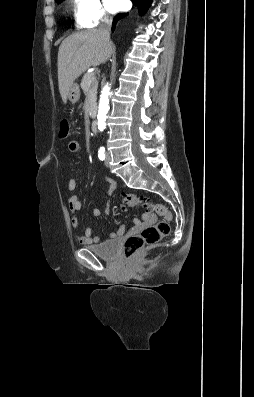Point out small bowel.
I'll use <instances>...</instances> for the list:
<instances>
[{"instance_id":"1","label":"small bowel","mask_w":254,"mask_h":397,"mask_svg":"<svg viewBox=\"0 0 254 397\" xmlns=\"http://www.w3.org/2000/svg\"><path fill=\"white\" fill-rule=\"evenodd\" d=\"M69 151L72 153H77L80 150V145L77 141H71L69 142L68 145ZM106 181L109 184V189H108V196L111 197V195L113 194L115 188H116V183L115 181L110 178V177H105ZM77 187V182L74 178H71L68 182V189L70 191H74ZM68 205H69V209L72 212V217H71V225L74 229H77L79 226V221L78 218L76 216V213L81 209L82 207V202L79 198V196L77 194H72L69 196L68 198ZM109 208H110V202L109 200L107 201L106 207L104 209V211L102 212L100 209L98 208H94L92 210V214L94 217H101L103 215H107L109 213ZM146 219H150L151 216L146 214L145 215ZM139 221L136 220L134 222V225H138ZM124 231V228L121 227L117 232H113L110 234L111 238H117L119 237ZM78 241L81 244H85V245H89V244H93V243H98L100 241V238L97 236H92V229L90 227H87L84 230V233L82 235H79L77 237Z\"/></svg>"}]
</instances>
